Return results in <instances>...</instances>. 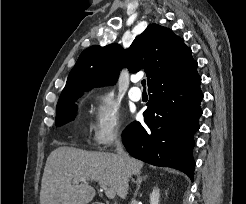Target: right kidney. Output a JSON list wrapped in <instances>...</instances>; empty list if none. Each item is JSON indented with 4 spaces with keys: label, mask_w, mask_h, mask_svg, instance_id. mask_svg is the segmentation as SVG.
Returning a JSON list of instances; mask_svg holds the SVG:
<instances>
[{
    "label": "right kidney",
    "mask_w": 246,
    "mask_h": 204,
    "mask_svg": "<svg viewBox=\"0 0 246 204\" xmlns=\"http://www.w3.org/2000/svg\"><path fill=\"white\" fill-rule=\"evenodd\" d=\"M160 191L158 188L153 189L150 194V204H159Z\"/></svg>",
    "instance_id": "obj_1"
}]
</instances>
